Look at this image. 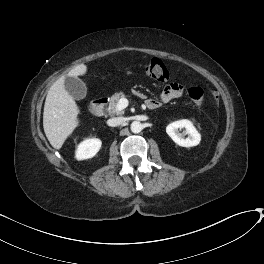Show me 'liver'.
<instances>
[{
  "instance_id": "obj_1",
  "label": "liver",
  "mask_w": 264,
  "mask_h": 264,
  "mask_svg": "<svg viewBox=\"0 0 264 264\" xmlns=\"http://www.w3.org/2000/svg\"><path fill=\"white\" fill-rule=\"evenodd\" d=\"M87 66L79 64L67 76H83ZM65 76H61L50 87L44 105L43 128L45 135L55 149H60L65 140L79 125L78 106L65 88Z\"/></svg>"
}]
</instances>
